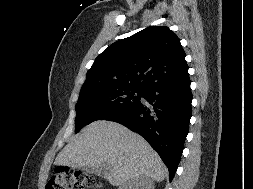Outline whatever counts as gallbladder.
I'll use <instances>...</instances> for the list:
<instances>
[{"label":"gallbladder","instance_id":"gallbladder-1","mask_svg":"<svg viewBox=\"0 0 253 189\" xmlns=\"http://www.w3.org/2000/svg\"><path fill=\"white\" fill-rule=\"evenodd\" d=\"M79 168L89 174L98 175V176H102V177L106 176L103 169H95V168L89 167V166H84V167H79Z\"/></svg>","mask_w":253,"mask_h":189}]
</instances>
